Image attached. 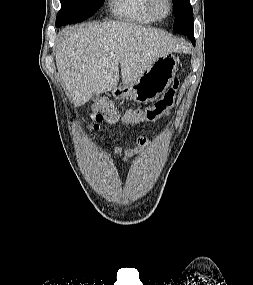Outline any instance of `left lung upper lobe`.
<instances>
[{
	"label": "left lung upper lobe",
	"mask_w": 253,
	"mask_h": 285,
	"mask_svg": "<svg viewBox=\"0 0 253 285\" xmlns=\"http://www.w3.org/2000/svg\"><path fill=\"white\" fill-rule=\"evenodd\" d=\"M174 6L175 23L173 30L186 35L194 30L193 10L190 0H172Z\"/></svg>",
	"instance_id": "obj_1"
}]
</instances>
